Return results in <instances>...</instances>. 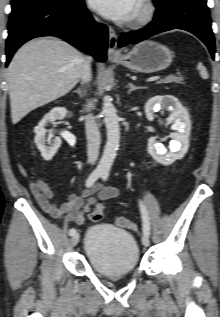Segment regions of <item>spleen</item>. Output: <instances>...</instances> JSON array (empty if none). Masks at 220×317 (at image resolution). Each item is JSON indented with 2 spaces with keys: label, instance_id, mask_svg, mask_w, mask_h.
<instances>
[{
  "label": "spleen",
  "instance_id": "3e777b00",
  "mask_svg": "<svg viewBox=\"0 0 220 317\" xmlns=\"http://www.w3.org/2000/svg\"><path fill=\"white\" fill-rule=\"evenodd\" d=\"M197 69L199 70L200 75H201V77L203 79L208 78V74H207L206 68L202 65V63H200V62L198 63Z\"/></svg>",
  "mask_w": 220,
  "mask_h": 317
}]
</instances>
